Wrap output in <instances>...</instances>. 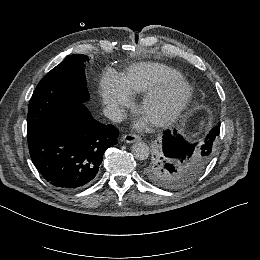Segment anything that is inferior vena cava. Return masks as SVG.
<instances>
[{"label":"inferior vena cava","instance_id":"602c4592","mask_svg":"<svg viewBox=\"0 0 260 260\" xmlns=\"http://www.w3.org/2000/svg\"><path fill=\"white\" fill-rule=\"evenodd\" d=\"M103 114L108 119L114 122H121L123 120L122 110L117 106H108L104 109Z\"/></svg>","mask_w":260,"mask_h":260}]
</instances>
